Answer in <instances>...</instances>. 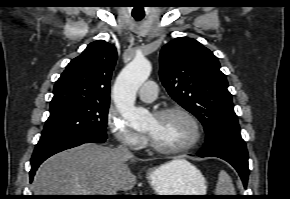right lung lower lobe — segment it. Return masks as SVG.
I'll return each instance as SVG.
<instances>
[{"label": "right lung lower lobe", "instance_id": "98d812e1", "mask_svg": "<svg viewBox=\"0 0 290 199\" xmlns=\"http://www.w3.org/2000/svg\"><path fill=\"white\" fill-rule=\"evenodd\" d=\"M106 139L101 137H95L90 135H84L69 139H62L52 142H45V143H38L35 147V150L33 152L32 158H31V170H30V179L33 178L37 168L39 165L46 160L48 157L61 152L66 149H70L76 146H79L84 143H90V142H99L103 143Z\"/></svg>", "mask_w": 290, "mask_h": 199}]
</instances>
